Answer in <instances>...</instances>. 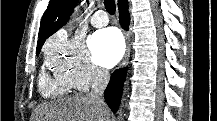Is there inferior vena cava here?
Here are the masks:
<instances>
[{
    "instance_id": "inferior-vena-cava-1",
    "label": "inferior vena cava",
    "mask_w": 217,
    "mask_h": 121,
    "mask_svg": "<svg viewBox=\"0 0 217 121\" xmlns=\"http://www.w3.org/2000/svg\"><path fill=\"white\" fill-rule=\"evenodd\" d=\"M108 82H109L108 71L105 69L96 68L91 83V92L87 96L91 99L96 100L101 107L105 106L103 93Z\"/></svg>"
}]
</instances>
